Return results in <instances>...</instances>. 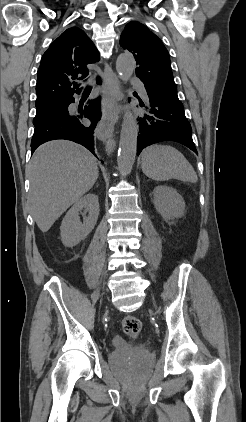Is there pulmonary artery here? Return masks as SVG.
I'll return each instance as SVG.
<instances>
[{"label":"pulmonary artery","instance_id":"1","mask_svg":"<svg viewBox=\"0 0 246 422\" xmlns=\"http://www.w3.org/2000/svg\"><path fill=\"white\" fill-rule=\"evenodd\" d=\"M130 82L144 97H147V92L144 87V84L140 81L139 78L133 76L130 78Z\"/></svg>","mask_w":246,"mask_h":422}]
</instances>
